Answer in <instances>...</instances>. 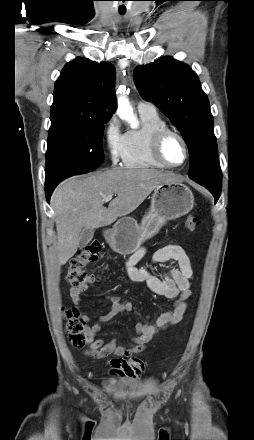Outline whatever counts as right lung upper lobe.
I'll return each instance as SVG.
<instances>
[{
  "label": "right lung upper lobe",
  "mask_w": 254,
  "mask_h": 440,
  "mask_svg": "<svg viewBox=\"0 0 254 440\" xmlns=\"http://www.w3.org/2000/svg\"><path fill=\"white\" fill-rule=\"evenodd\" d=\"M115 68L77 57L67 63L55 83L51 115L72 113L109 119L116 109Z\"/></svg>",
  "instance_id": "1"
}]
</instances>
